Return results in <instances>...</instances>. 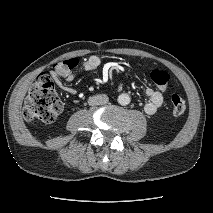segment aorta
I'll list each match as a JSON object with an SVG mask.
<instances>
[{
    "mask_svg": "<svg viewBox=\"0 0 213 213\" xmlns=\"http://www.w3.org/2000/svg\"><path fill=\"white\" fill-rule=\"evenodd\" d=\"M131 99H130V96L126 93H122L118 96V103L120 105H128L130 103Z\"/></svg>",
    "mask_w": 213,
    "mask_h": 213,
    "instance_id": "obj_1",
    "label": "aorta"
}]
</instances>
